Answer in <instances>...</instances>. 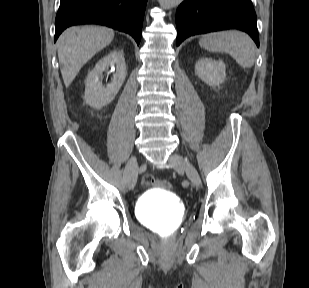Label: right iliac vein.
Masks as SVG:
<instances>
[{"mask_svg":"<svg viewBox=\"0 0 309 288\" xmlns=\"http://www.w3.org/2000/svg\"><path fill=\"white\" fill-rule=\"evenodd\" d=\"M136 173H137V158L133 156L127 162L123 172V178L126 181L127 186H129L131 184V181L134 180Z\"/></svg>","mask_w":309,"mask_h":288,"instance_id":"right-iliac-vein-1","label":"right iliac vein"}]
</instances>
